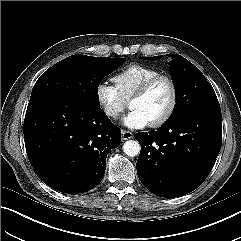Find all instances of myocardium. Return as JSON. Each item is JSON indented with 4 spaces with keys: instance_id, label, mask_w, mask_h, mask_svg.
<instances>
[{
    "instance_id": "f54148a6",
    "label": "myocardium",
    "mask_w": 241,
    "mask_h": 241,
    "mask_svg": "<svg viewBox=\"0 0 241 241\" xmlns=\"http://www.w3.org/2000/svg\"><path fill=\"white\" fill-rule=\"evenodd\" d=\"M160 81H166L171 88V101L167 108V110L164 112L162 116H160L158 119L148 123L150 127H160L164 125L174 114L177 104H178V98H179V90L176 81L169 75L159 74L156 75L147 81H145L140 87H138L134 93L129 98V103L133 99L141 98L145 96L154 85H156Z\"/></svg>"
}]
</instances>
